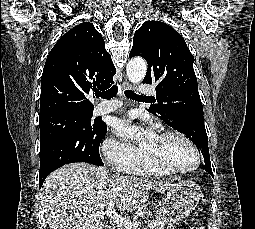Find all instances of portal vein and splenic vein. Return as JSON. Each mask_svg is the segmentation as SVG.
<instances>
[{
    "mask_svg": "<svg viewBox=\"0 0 255 229\" xmlns=\"http://www.w3.org/2000/svg\"><path fill=\"white\" fill-rule=\"evenodd\" d=\"M118 197L119 196L117 195V196L114 197V199H117ZM113 206H114L113 203H109V206H108L107 210H105V211H98L97 215H99V216L107 215L110 218L114 219L116 222H119L120 224L125 226L127 229H139L138 228L139 223H133L129 219L118 215L113 210ZM148 227L153 229V228L156 227V224L155 223L148 224Z\"/></svg>",
    "mask_w": 255,
    "mask_h": 229,
    "instance_id": "1",
    "label": "portal vein and splenic vein"
}]
</instances>
